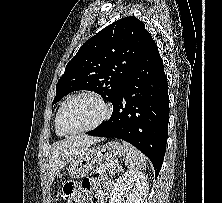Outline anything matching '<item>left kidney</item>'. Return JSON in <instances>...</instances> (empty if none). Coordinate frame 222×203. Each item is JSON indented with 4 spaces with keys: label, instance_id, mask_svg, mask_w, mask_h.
<instances>
[{
    "label": "left kidney",
    "instance_id": "5707ae66",
    "mask_svg": "<svg viewBox=\"0 0 222 203\" xmlns=\"http://www.w3.org/2000/svg\"><path fill=\"white\" fill-rule=\"evenodd\" d=\"M148 190V177L145 173L125 172L113 184L109 203H143Z\"/></svg>",
    "mask_w": 222,
    "mask_h": 203
}]
</instances>
